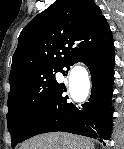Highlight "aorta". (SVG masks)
Returning <instances> with one entry per match:
<instances>
[{
    "instance_id": "762f6f07",
    "label": "aorta",
    "mask_w": 124,
    "mask_h": 149,
    "mask_svg": "<svg viewBox=\"0 0 124 149\" xmlns=\"http://www.w3.org/2000/svg\"><path fill=\"white\" fill-rule=\"evenodd\" d=\"M86 73L83 69L76 67L70 74V86L73 87L77 80H84Z\"/></svg>"
}]
</instances>
